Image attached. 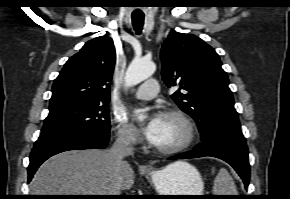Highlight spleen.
Instances as JSON below:
<instances>
[{"label":"spleen","mask_w":290,"mask_h":199,"mask_svg":"<svg viewBox=\"0 0 290 199\" xmlns=\"http://www.w3.org/2000/svg\"><path fill=\"white\" fill-rule=\"evenodd\" d=\"M214 171V168H212V173H214ZM213 195H237L234 181L224 168L220 169L214 180Z\"/></svg>","instance_id":"3e777b00"}]
</instances>
